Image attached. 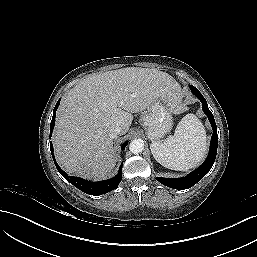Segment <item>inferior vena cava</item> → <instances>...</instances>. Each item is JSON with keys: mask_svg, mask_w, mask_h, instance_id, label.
<instances>
[{"mask_svg": "<svg viewBox=\"0 0 257 257\" xmlns=\"http://www.w3.org/2000/svg\"><path fill=\"white\" fill-rule=\"evenodd\" d=\"M121 131V128L119 126H116L111 130V136L113 138H116L119 134H121Z\"/></svg>", "mask_w": 257, "mask_h": 257, "instance_id": "obj_1", "label": "inferior vena cava"}]
</instances>
